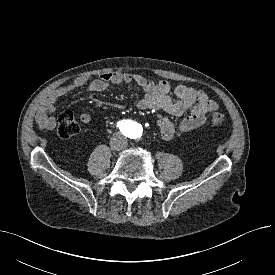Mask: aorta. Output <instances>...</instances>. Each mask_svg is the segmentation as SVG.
<instances>
[{
  "label": "aorta",
  "mask_w": 275,
  "mask_h": 275,
  "mask_svg": "<svg viewBox=\"0 0 275 275\" xmlns=\"http://www.w3.org/2000/svg\"><path fill=\"white\" fill-rule=\"evenodd\" d=\"M128 131L133 137H137L140 133V125L138 123H133V125L128 127Z\"/></svg>",
  "instance_id": "aorta-1"
}]
</instances>
